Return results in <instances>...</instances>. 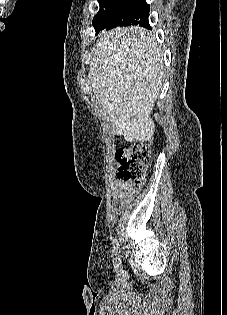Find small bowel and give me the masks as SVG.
<instances>
[{
    "mask_svg": "<svg viewBox=\"0 0 227 315\" xmlns=\"http://www.w3.org/2000/svg\"><path fill=\"white\" fill-rule=\"evenodd\" d=\"M112 191L114 198L121 205H125L130 202V200H132L137 193V189H134L125 183H114L112 186Z\"/></svg>",
    "mask_w": 227,
    "mask_h": 315,
    "instance_id": "small-bowel-1",
    "label": "small bowel"
}]
</instances>
